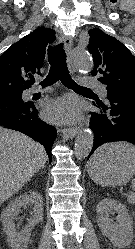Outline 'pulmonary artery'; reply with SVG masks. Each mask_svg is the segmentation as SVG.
<instances>
[{
  "label": "pulmonary artery",
  "instance_id": "1",
  "mask_svg": "<svg viewBox=\"0 0 135 249\" xmlns=\"http://www.w3.org/2000/svg\"><path fill=\"white\" fill-rule=\"evenodd\" d=\"M82 85L85 87H90V88H96L100 91L101 95L106 97L107 95V91L104 88L103 85H101L98 81H96L93 77H84L82 79ZM52 88L51 87H46L44 89H41L40 87H33L31 89H29L26 94L27 96H31L34 93H37L39 91H51Z\"/></svg>",
  "mask_w": 135,
  "mask_h": 249
}]
</instances>
